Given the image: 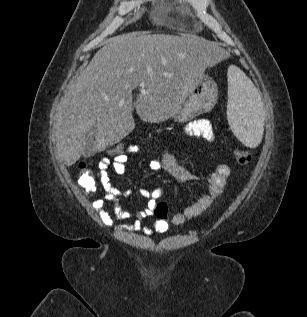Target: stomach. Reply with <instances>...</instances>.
Returning a JSON list of instances; mask_svg holds the SVG:
<instances>
[{"label":"stomach","instance_id":"stomach-1","mask_svg":"<svg viewBox=\"0 0 307 317\" xmlns=\"http://www.w3.org/2000/svg\"><path fill=\"white\" fill-rule=\"evenodd\" d=\"M217 95L216 85L205 75H199L181 108L171 117L175 121L183 122L198 114L208 112L214 106Z\"/></svg>","mask_w":307,"mask_h":317}]
</instances>
